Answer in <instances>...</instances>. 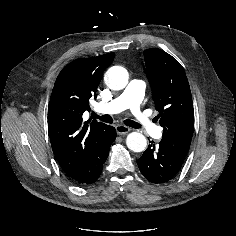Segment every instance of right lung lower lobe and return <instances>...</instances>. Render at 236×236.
Instances as JSON below:
<instances>
[{"mask_svg": "<svg viewBox=\"0 0 236 236\" xmlns=\"http://www.w3.org/2000/svg\"><path fill=\"white\" fill-rule=\"evenodd\" d=\"M116 138L114 127H107L99 134L82 166L69 177L79 185L94 183L100 176L111 144Z\"/></svg>", "mask_w": 236, "mask_h": 236, "instance_id": "right-lung-lower-lobe-1", "label": "right lung lower lobe"}]
</instances>
